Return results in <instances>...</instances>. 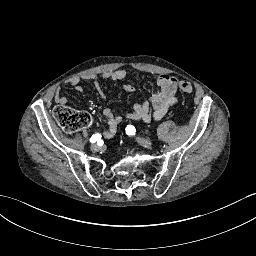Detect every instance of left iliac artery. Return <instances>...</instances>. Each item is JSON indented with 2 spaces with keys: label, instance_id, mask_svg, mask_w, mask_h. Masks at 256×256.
Returning a JSON list of instances; mask_svg holds the SVG:
<instances>
[{
  "label": "left iliac artery",
  "instance_id": "1",
  "mask_svg": "<svg viewBox=\"0 0 256 256\" xmlns=\"http://www.w3.org/2000/svg\"><path fill=\"white\" fill-rule=\"evenodd\" d=\"M125 130L127 135H135L136 129L133 125H128Z\"/></svg>",
  "mask_w": 256,
  "mask_h": 256
}]
</instances>
